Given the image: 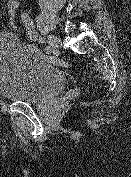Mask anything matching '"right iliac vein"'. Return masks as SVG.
I'll return each mask as SVG.
<instances>
[{
  "instance_id": "right-iliac-vein-1",
  "label": "right iliac vein",
  "mask_w": 131,
  "mask_h": 177,
  "mask_svg": "<svg viewBox=\"0 0 131 177\" xmlns=\"http://www.w3.org/2000/svg\"><path fill=\"white\" fill-rule=\"evenodd\" d=\"M46 39H47L49 45L52 46L53 48H59L61 46V41L56 36L47 35Z\"/></svg>"
}]
</instances>
